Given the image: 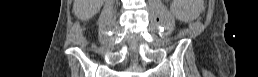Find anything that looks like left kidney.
<instances>
[{
    "mask_svg": "<svg viewBox=\"0 0 258 77\" xmlns=\"http://www.w3.org/2000/svg\"><path fill=\"white\" fill-rule=\"evenodd\" d=\"M176 6L173 8L172 12L181 21L193 20L195 15L192 8L189 6L188 0H176L174 1Z\"/></svg>",
    "mask_w": 258,
    "mask_h": 77,
    "instance_id": "1",
    "label": "left kidney"
}]
</instances>
